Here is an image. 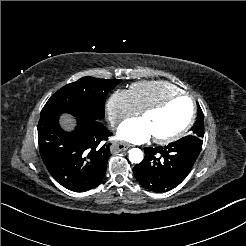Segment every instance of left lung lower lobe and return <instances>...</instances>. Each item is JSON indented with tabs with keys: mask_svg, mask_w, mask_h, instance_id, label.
<instances>
[{
	"mask_svg": "<svg viewBox=\"0 0 246 246\" xmlns=\"http://www.w3.org/2000/svg\"><path fill=\"white\" fill-rule=\"evenodd\" d=\"M202 143V138L188 135L167 146L145 148V158L133 168L136 179L154 192L175 188L190 173Z\"/></svg>",
	"mask_w": 246,
	"mask_h": 246,
	"instance_id": "left-lung-lower-lobe-1",
	"label": "left lung lower lobe"
}]
</instances>
